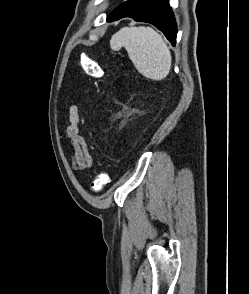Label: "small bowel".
<instances>
[{
  "instance_id": "1",
  "label": "small bowel",
  "mask_w": 249,
  "mask_h": 294,
  "mask_svg": "<svg viewBox=\"0 0 249 294\" xmlns=\"http://www.w3.org/2000/svg\"><path fill=\"white\" fill-rule=\"evenodd\" d=\"M79 121V109L76 105H71L69 107V125L66 128V138L70 140L72 145L70 158L75 170H85L92 167L93 157L85 138L79 134Z\"/></svg>"
}]
</instances>
